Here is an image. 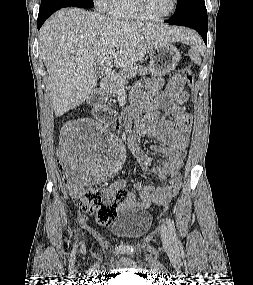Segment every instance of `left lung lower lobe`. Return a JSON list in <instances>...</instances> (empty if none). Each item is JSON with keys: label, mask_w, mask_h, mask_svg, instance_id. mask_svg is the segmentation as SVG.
Returning <instances> with one entry per match:
<instances>
[{"label": "left lung lower lobe", "mask_w": 253, "mask_h": 285, "mask_svg": "<svg viewBox=\"0 0 253 285\" xmlns=\"http://www.w3.org/2000/svg\"><path fill=\"white\" fill-rule=\"evenodd\" d=\"M165 22L195 29L207 44L208 17L204 0L191 1Z\"/></svg>", "instance_id": "obj_1"}]
</instances>
